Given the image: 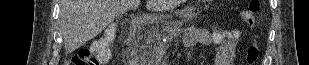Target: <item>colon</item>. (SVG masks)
Returning a JSON list of instances; mask_svg holds the SVG:
<instances>
[{"instance_id":"5ec220e1","label":"colon","mask_w":309,"mask_h":65,"mask_svg":"<svg viewBox=\"0 0 309 65\" xmlns=\"http://www.w3.org/2000/svg\"><path fill=\"white\" fill-rule=\"evenodd\" d=\"M259 13V3L252 1L247 9L241 13L243 22L248 26H253ZM116 38V30L108 27L102 38L93 42L89 48L77 53L74 61L76 65H102L108 62L112 53V46ZM260 56V48L257 43H253L248 47L246 62L248 65H257Z\"/></svg>"}]
</instances>
